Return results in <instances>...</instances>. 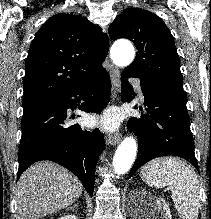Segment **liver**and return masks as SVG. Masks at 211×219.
Returning a JSON list of instances; mask_svg holds the SVG:
<instances>
[{
  "label": "liver",
  "instance_id": "1",
  "mask_svg": "<svg viewBox=\"0 0 211 219\" xmlns=\"http://www.w3.org/2000/svg\"><path fill=\"white\" fill-rule=\"evenodd\" d=\"M79 179L53 162H37L19 178L16 201L19 219H37L71 205L82 194Z\"/></svg>",
  "mask_w": 211,
  "mask_h": 219
}]
</instances>
